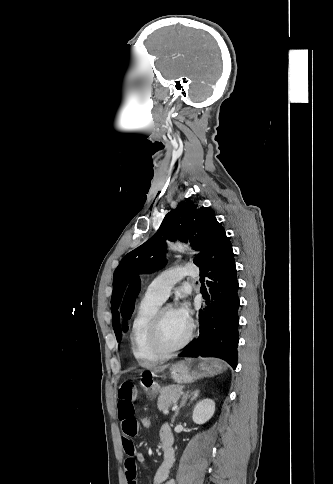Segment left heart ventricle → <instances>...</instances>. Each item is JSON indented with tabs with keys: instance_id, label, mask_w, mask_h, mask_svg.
Returning a JSON list of instances; mask_svg holds the SVG:
<instances>
[{
	"instance_id": "left-heart-ventricle-1",
	"label": "left heart ventricle",
	"mask_w": 333,
	"mask_h": 484,
	"mask_svg": "<svg viewBox=\"0 0 333 484\" xmlns=\"http://www.w3.org/2000/svg\"><path fill=\"white\" fill-rule=\"evenodd\" d=\"M189 324L182 321L175 310L168 308L164 312L162 322V337L167 347L178 345L186 337Z\"/></svg>"
}]
</instances>
